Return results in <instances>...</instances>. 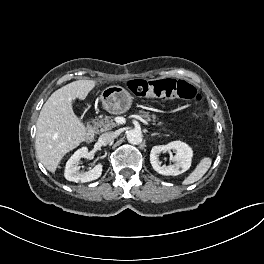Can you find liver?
<instances>
[{"instance_id": "6515ba94", "label": "liver", "mask_w": 264, "mask_h": 264, "mask_svg": "<svg viewBox=\"0 0 264 264\" xmlns=\"http://www.w3.org/2000/svg\"><path fill=\"white\" fill-rule=\"evenodd\" d=\"M93 80H78L52 93L36 123V154L44 167L55 173L65 154L85 140V125L75 115L72 100H84L95 87Z\"/></svg>"}]
</instances>
